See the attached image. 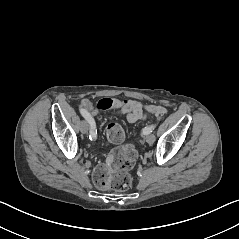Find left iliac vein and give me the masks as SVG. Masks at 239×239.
Segmentation results:
<instances>
[{
  "mask_svg": "<svg viewBox=\"0 0 239 239\" xmlns=\"http://www.w3.org/2000/svg\"><path fill=\"white\" fill-rule=\"evenodd\" d=\"M155 139H156V137H155L154 134H148V135L146 136V142H147L148 144H153L154 141H155Z\"/></svg>",
  "mask_w": 239,
  "mask_h": 239,
  "instance_id": "left-iliac-vein-1",
  "label": "left iliac vein"
}]
</instances>
